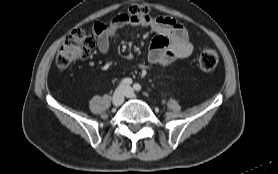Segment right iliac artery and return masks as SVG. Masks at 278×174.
I'll use <instances>...</instances> for the list:
<instances>
[{
  "instance_id": "1",
  "label": "right iliac artery",
  "mask_w": 278,
  "mask_h": 174,
  "mask_svg": "<svg viewBox=\"0 0 278 174\" xmlns=\"http://www.w3.org/2000/svg\"><path fill=\"white\" fill-rule=\"evenodd\" d=\"M131 84H132V79H131V78H124V79L120 82L119 86H120V87H123V86H129V85H131Z\"/></svg>"
}]
</instances>
